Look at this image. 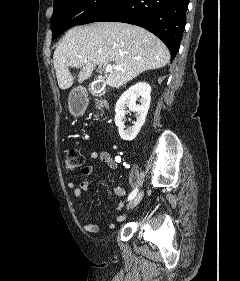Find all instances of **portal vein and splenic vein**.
<instances>
[{"instance_id": "1", "label": "portal vein and splenic vein", "mask_w": 240, "mask_h": 281, "mask_svg": "<svg viewBox=\"0 0 240 281\" xmlns=\"http://www.w3.org/2000/svg\"><path fill=\"white\" fill-rule=\"evenodd\" d=\"M87 60H84V63H86ZM112 70H122V67L121 66H114V65H107L106 68H105V71L106 72H111Z\"/></svg>"}]
</instances>
